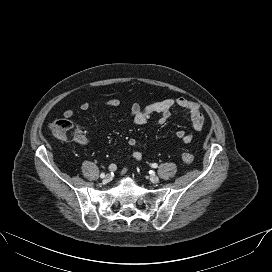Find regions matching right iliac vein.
I'll return each mask as SVG.
<instances>
[{
  "label": "right iliac vein",
  "mask_w": 272,
  "mask_h": 272,
  "mask_svg": "<svg viewBox=\"0 0 272 272\" xmlns=\"http://www.w3.org/2000/svg\"><path fill=\"white\" fill-rule=\"evenodd\" d=\"M112 177L110 174H107L104 179H103V182L104 183H109L111 181Z\"/></svg>",
  "instance_id": "obj_1"
}]
</instances>
